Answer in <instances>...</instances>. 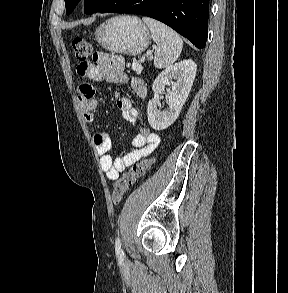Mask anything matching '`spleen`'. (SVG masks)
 Here are the masks:
<instances>
[{"instance_id":"obj_1","label":"spleen","mask_w":288,"mask_h":293,"mask_svg":"<svg viewBox=\"0 0 288 293\" xmlns=\"http://www.w3.org/2000/svg\"><path fill=\"white\" fill-rule=\"evenodd\" d=\"M143 21L150 28L152 38L156 43L154 65L158 69L170 67L180 56L183 41L173 29L149 17Z\"/></svg>"}]
</instances>
